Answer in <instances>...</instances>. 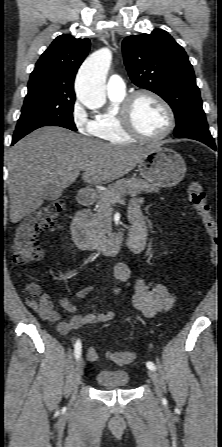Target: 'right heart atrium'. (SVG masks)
Masks as SVG:
<instances>
[{
	"label": "right heart atrium",
	"instance_id": "1",
	"mask_svg": "<svg viewBox=\"0 0 222 447\" xmlns=\"http://www.w3.org/2000/svg\"><path fill=\"white\" fill-rule=\"evenodd\" d=\"M71 116L73 124L79 133L84 135L91 134L92 120L89 119L86 111L79 103L74 104Z\"/></svg>",
	"mask_w": 222,
	"mask_h": 447
}]
</instances>
